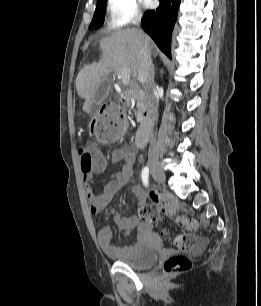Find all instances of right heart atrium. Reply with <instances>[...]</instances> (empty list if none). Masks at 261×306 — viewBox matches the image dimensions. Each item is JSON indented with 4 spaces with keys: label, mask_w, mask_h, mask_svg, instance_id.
<instances>
[{
    "label": "right heart atrium",
    "mask_w": 261,
    "mask_h": 306,
    "mask_svg": "<svg viewBox=\"0 0 261 306\" xmlns=\"http://www.w3.org/2000/svg\"><path fill=\"white\" fill-rule=\"evenodd\" d=\"M107 14L109 25L113 29L125 28L141 18L137 0H108Z\"/></svg>",
    "instance_id": "d8ad5b80"
}]
</instances>
